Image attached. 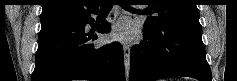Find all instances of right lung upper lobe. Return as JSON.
I'll return each mask as SVG.
<instances>
[{
    "mask_svg": "<svg viewBox=\"0 0 237 81\" xmlns=\"http://www.w3.org/2000/svg\"><path fill=\"white\" fill-rule=\"evenodd\" d=\"M42 7L41 23L76 17L98 9L92 0H44Z\"/></svg>",
    "mask_w": 237,
    "mask_h": 81,
    "instance_id": "right-lung-upper-lobe-1",
    "label": "right lung upper lobe"
}]
</instances>
